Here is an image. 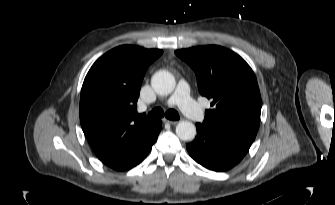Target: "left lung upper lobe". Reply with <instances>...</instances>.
<instances>
[{
  "label": "left lung upper lobe",
  "instance_id": "left-lung-upper-lobe-1",
  "mask_svg": "<svg viewBox=\"0 0 335 205\" xmlns=\"http://www.w3.org/2000/svg\"><path fill=\"white\" fill-rule=\"evenodd\" d=\"M195 71L201 95L210 99L202 125L252 143L261 114V95L250 66L236 53L217 45L176 50Z\"/></svg>",
  "mask_w": 335,
  "mask_h": 205
}]
</instances>
